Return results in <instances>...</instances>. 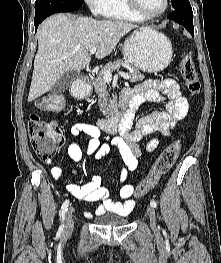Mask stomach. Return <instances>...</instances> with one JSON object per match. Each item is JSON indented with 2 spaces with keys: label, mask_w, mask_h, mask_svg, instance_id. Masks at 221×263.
<instances>
[{
  "label": "stomach",
  "mask_w": 221,
  "mask_h": 263,
  "mask_svg": "<svg viewBox=\"0 0 221 263\" xmlns=\"http://www.w3.org/2000/svg\"><path fill=\"white\" fill-rule=\"evenodd\" d=\"M122 52L125 60L135 68L157 73L170 64L173 49L168 37L151 29L134 31L125 40Z\"/></svg>",
  "instance_id": "0dacf381"
}]
</instances>
